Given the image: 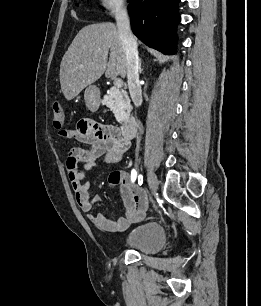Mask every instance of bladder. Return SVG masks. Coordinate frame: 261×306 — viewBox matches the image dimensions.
Here are the masks:
<instances>
[{
	"label": "bladder",
	"instance_id": "1",
	"mask_svg": "<svg viewBox=\"0 0 261 306\" xmlns=\"http://www.w3.org/2000/svg\"><path fill=\"white\" fill-rule=\"evenodd\" d=\"M165 241L163 225L157 221H148L132 229L123 245L143 254H155L163 248Z\"/></svg>",
	"mask_w": 261,
	"mask_h": 306
}]
</instances>
